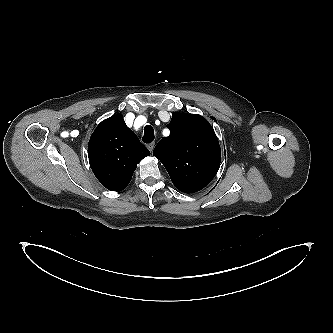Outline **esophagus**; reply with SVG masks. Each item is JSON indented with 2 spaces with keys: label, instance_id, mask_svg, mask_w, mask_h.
I'll return each mask as SVG.
<instances>
[{
  "label": "esophagus",
  "instance_id": "esophagus-1",
  "mask_svg": "<svg viewBox=\"0 0 333 333\" xmlns=\"http://www.w3.org/2000/svg\"><path fill=\"white\" fill-rule=\"evenodd\" d=\"M154 147H155V143H150L147 145V148L149 149L150 152L153 151Z\"/></svg>",
  "mask_w": 333,
  "mask_h": 333
}]
</instances>
